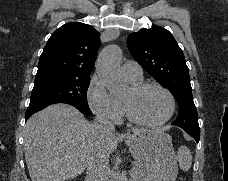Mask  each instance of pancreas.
Returning <instances> with one entry per match:
<instances>
[{
    "instance_id": "pancreas-1",
    "label": "pancreas",
    "mask_w": 228,
    "mask_h": 181,
    "mask_svg": "<svg viewBox=\"0 0 228 181\" xmlns=\"http://www.w3.org/2000/svg\"><path fill=\"white\" fill-rule=\"evenodd\" d=\"M130 175H132L133 181H140L141 173H139V171H133Z\"/></svg>"
}]
</instances>
